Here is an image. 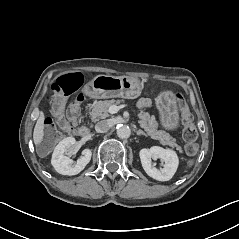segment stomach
I'll list each match as a JSON object with an SVG mask.
<instances>
[{
  "instance_id": "stomach-1",
  "label": "stomach",
  "mask_w": 239,
  "mask_h": 239,
  "mask_svg": "<svg viewBox=\"0 0 239 239\" xmlns=\"http://www.w3.org/2000/svg\"><path fill=\"white\" fill-rule=\"evenodd\" d=\"M142 85L139 79L129 76L97 75L83 87V92L96 99L125 98L134 99L140 96ZM160 120L164 128L176 129L179 125V115L174 93L160 92L155 98Z\"/></svg>"
}]
</instances>
